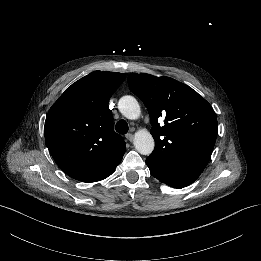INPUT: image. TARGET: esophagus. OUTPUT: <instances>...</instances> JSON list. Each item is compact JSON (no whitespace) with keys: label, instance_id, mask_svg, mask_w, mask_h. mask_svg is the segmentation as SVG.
I'll list each match as a JSON object with an SVG mask.
<instances>
[{"label":"esophagus","instance_id":"esophagus-1","mask_svg":"<svg viewBox=\"0 0 261 261\" xmlns=\"http://www.w3.org/2000/svg\"><path fill=\"white\" fill-rule=\"evenodd\" d=\"M126 139H128V141L132 142L133 139H134L133 134H132V133H128V134H126Z\"/></svg>","mask_w":261,"mask_h":261}]
</instances>
